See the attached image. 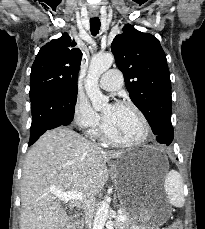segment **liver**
Instances as JSON below:
<instances>
[{
    "mask_svg": "<svg viewBox=\"0 0 205 229\" xmlns=\"http://www.w3.org/2000/svg\"><path fill=\"white\" fill-rule=\"evenodd\" d=\"M124 151H105L73 130L47 131L28 151L21 182L20 229H62L70 220L52 191H78L81 208L101 192L108 180L106 162Z\"/></svg>",
    "mask_w": 205,
    "mask_h": 229,
    "instance_id": "obj_1",
    "label": "liver"
}]
</instances>
